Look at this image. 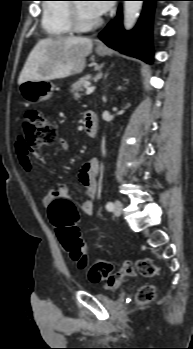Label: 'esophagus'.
<instances>
[{"label": "esophagus", "mask_w": 193, "mask_h": 349, "mask_svg": "<svg viewBox=\"0 0 193 349\" xmlns=\"http://www.w3.org/2000/svg\"><path fill=\"white\" fill-rule=\"evenodd\" d=\"M97 46H98V47H101V48H102V47H105V45H104L102 42H98V43H97Z\"/></svg>", "instance_id": "1"}]
</instances>
